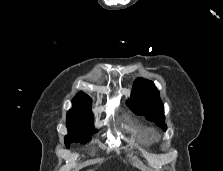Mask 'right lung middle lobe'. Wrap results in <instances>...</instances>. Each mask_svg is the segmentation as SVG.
Segmentation results:
<instances>
[{
	"instance_id": "1",
	"label": "right lung middle lobe",
	"mask_w": 223,
	"mask_h": 171,
	"mask_svg": "<svg viewBox=\"0 0 223 171\" xmlns=\"http://www.w3.org/2000/svg\"><path fill=\"white\" fill-rule=\"evenodd\" d=\"M68 134L65 144L86 143L96 131L93 128V116L91 109H71L67 113Z\"/></svg>"
}]
</instances>
